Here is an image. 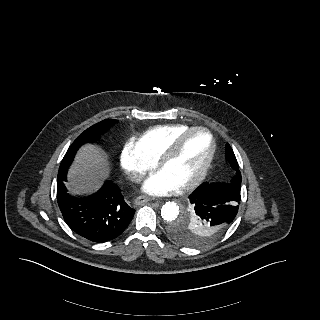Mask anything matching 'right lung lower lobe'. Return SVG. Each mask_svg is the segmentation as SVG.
Listing matches in <instances>:
<instances>
[{
	"mask_svg": "<svg viewBox=\"0 0 320 320\" xmlns=\"http://www.w3.org/2000/svg\"><path fill=\"white\" fill-rule=\"evenodd\" d=\"M64 181L66 177L57 180V202L65 222L78 235L104 243L127 228L135 210L125 202L116 184L107 181L90 196L73 197L67 193Z\"/></svg>",
	"mask_w": 320,
	"mask_h": 320,
	"instance_id": "98d812e1",
	"label": "right lung lower lobe"
}]
</instances>
